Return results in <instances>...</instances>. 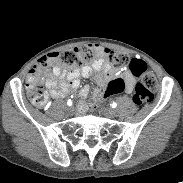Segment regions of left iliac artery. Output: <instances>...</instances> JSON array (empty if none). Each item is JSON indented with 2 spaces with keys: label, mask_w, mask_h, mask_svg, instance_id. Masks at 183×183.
Here are the masks:
<instances>
[{
  "label": "left iliac artery",
  "mask_w": 183,
  "mask_h": 183,
  "mask_svg": "<svg viewBox=\"0 0 183 183\" xmlns=\"http://www.w3.org/2000/svg\"><path fill=\"white\" fill-rule=\"evenodd\" d=\"M112 108H115L117 106L116 102L111 103Z\"/></svg>",
  "instance_id": "left-iliac-artery-1"
}]
</instances>
